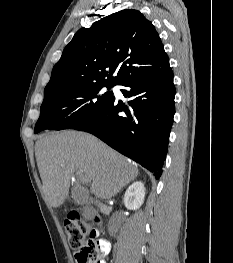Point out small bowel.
Here are the masks:
<instances>
[{
	"mask_svg": "<svg viewBox=\"0 0 233 263\" xmlns=\"http://www.w3.org/2000/svg\"><path fill=\"white\" fill-rule=\"evenodd\" d=\"M101 243V262L100 263H106L105 258L108 256L111 250V244L108 240L100 239Z\"/></svg>",
	"mask_w": 233,
	"mask_h": 263,
	"instance_id": "obj_1",
	"label": "small bowel"
}]
</instances>
